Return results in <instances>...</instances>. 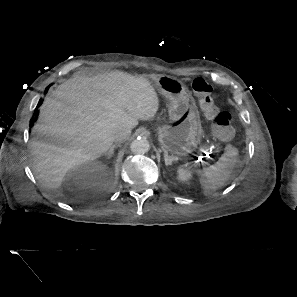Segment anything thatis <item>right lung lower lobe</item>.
Wrapping results in <instances>:
<instances>
[{"instance_id": "98d812e1", "label": "right lung lower lobe", "mask_w": 297, "mask_h": 297, "mask_svg": "<svg viewBox=\"0 0 297 297\" xmlns=\"http://www.w3.org/2000/svg\"><path fill=\"white\" fill-rule=\"evenodd\" d=\"M48 89H49V86L46 88L45 92H47ZM40 103H41V100H40L39 104H40ZM36 113H37V110H36ZM31 122H33V119H32Z\"/></svg>"}]
</instances>
